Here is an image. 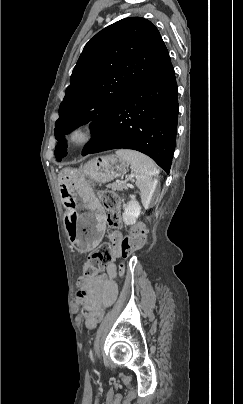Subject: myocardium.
I'll return each mask as SVG.
<instances>
[{
    "label": "myocardium",
    "mask_w": 243,
    "mask_h": 404,
    "mask_svg": "<svg viewBox=\"0 0 243 404\" xmlns=\"http://www.w3.org/2000/svg\"><path fill=\"white\" fill-rule=\"evenodd\" d=\"M95 137V128L88 121L70 124L63 134L64 142L72 148H82L90 144Z\"/></svg>",
    "instance_id": "myocardium-1"
}]
</instances>
